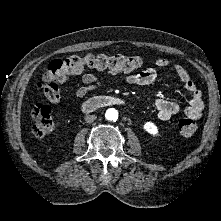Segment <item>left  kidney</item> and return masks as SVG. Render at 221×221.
<instances>
[{
    "instance_id": "5707ae66",
    "label": "left kidney",
    "mask_w": 221,
    "mask_h": 221,
    "mask_svg": "<svg viewBox=\"0 0 221 221\" xmlns=\"http://www.w3.org/2000/svg\"><path fill=\"white\" fill-rule=\"evenodd\" d=\"M144 129L151 135L156 136L158 135L157 126L153 122H146L144 124Z\"/></svg>"
}]
</instances>
